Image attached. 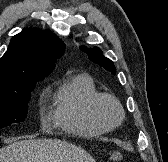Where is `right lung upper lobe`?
Wrapping results in <instances>:
<instances>
[{
    "label": "right lung upper lobe",
    "mask_w": 168,
    "mask_h": 162,
    "mask_svg": "<svg viewBox=\"0 0 168 162\" xmlns=\"http://www.w3.org/2000/svg\"><path fill=\"white\" fill-rule=\"evenodd\" d=\"M64 52V43L51 31L25 28L15 35L0 59V89L42 80Z\"/></svg>",
    "instance_id": "right-lung-upper-lobe-1"
}]
</instances>
